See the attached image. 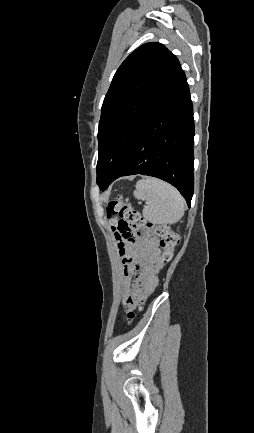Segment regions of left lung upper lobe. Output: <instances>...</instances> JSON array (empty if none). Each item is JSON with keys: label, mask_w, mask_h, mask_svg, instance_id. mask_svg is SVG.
<instances>
[{"label": "left lung upper lobe", "mask_w": 254, "mask_h": 433, "mask_svg": "<svg viewBox=\"0 0 254 433\" xmlns=\"http://www.w3.org/2000/svg\"><path fill=\"white\" fill-rule=\"evenodd\" d=\"M181 71L176 56L157 42L140 46L118 68L101 109L99 186L121 164L139 130Z\"/></svg>", "instance_id": "1"}]
</instances>
